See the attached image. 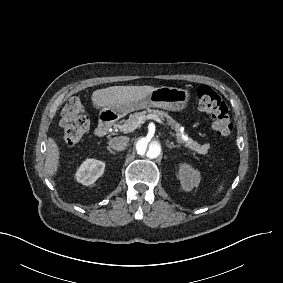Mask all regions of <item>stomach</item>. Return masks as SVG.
Wrapping results in <instances>:
<instances>
[{
  "instance_id": "0dacf381",
  "label": "stomach",
  "mask_w": 283,
  "mask_h": 283,
  "mask_svg": "<svg viewBox=\"0 0 283 283\" xmlns=\"http://www.w3.org/2000/svg\"><path fill=\"white\" fill-rule=\"evenodd\" d=\"M191 93L188 89L163 86L156 88L148 97L138 102L126 103L117 108L118 117L140 109L150 107L181 112L188 108Z\"/></svg>"
}]
</instances>
